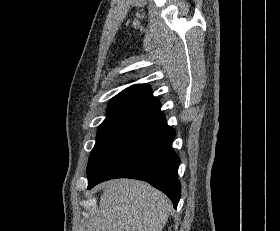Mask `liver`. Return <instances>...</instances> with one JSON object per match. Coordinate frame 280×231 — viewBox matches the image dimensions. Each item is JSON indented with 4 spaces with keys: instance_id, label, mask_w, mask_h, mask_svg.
I'll return each instance as SVG.
<instances>
[{
    "instance_id": "6515ba94",
    "label": "liver",
    "mask_w": 280,
    "mask_h": 231,
    "mask_svg": "<svg viewBox=\"0 0 280 231\" xmlns=\"http://www.w3.org/2000/svg\"><path fill=\"white\" fill-rule=\"evenodd\" d=\"M100 209L90 217L87 231H162L171 203L161 191L137 179L104 183Z\"/></svg>"
}]
</instances>
